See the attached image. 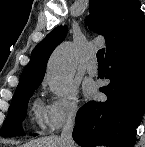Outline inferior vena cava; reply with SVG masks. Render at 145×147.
I'll list each match as a JSON object with an SVG mask.
<instances>
[{"instance_id": "602c4592", "label": "inferior vena cava", "mask_w": 145, "mask_h": 147, "mask_svg": "<svg viewBox=\"0 0 145 147\" xmlns=\"http://www.w3.org/2000/svg\"><path fill=\"white\" fill-rule=\"evenodd\" d=\"M75 122V115L72 114L67 118L65 125L63 126L60 141L63 147H74V142L72 139V131Z\"/></svg>"}]
</instances>
